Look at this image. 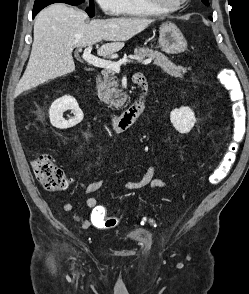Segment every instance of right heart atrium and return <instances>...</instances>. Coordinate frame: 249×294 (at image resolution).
<instances>
[{
    "instance_id": "d8ad5b80",
    "label": "right heart atrium",
    "mask_w": 249,
    "mask_h": 294,
    "mask_svg": "<svg viewBox=\"0 0 249 294\" xmlns=\"http://www.w3.org/2000/svg\"><path fill=\"white\" fill-rule=\"evenodd\" d=\"M96 2L106 14H119V0H96Z\"/></svg>"
}]
</instances>
